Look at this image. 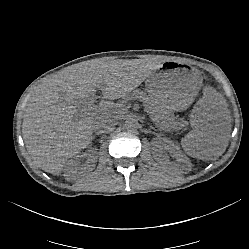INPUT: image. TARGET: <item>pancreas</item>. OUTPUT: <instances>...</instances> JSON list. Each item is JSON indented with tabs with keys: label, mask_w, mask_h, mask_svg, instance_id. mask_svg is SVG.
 Masks as SVG:
<instances>
[{
	"label": "pancreas",
	"mask_w": 249,
	"mask_h": 249,
	"mask_svg": "<svg viewBox=\"0 0 249 249\" xmlns=\"http://www.w3.org/2000/svg\"><path fill=\"white\" fill-rule=\"evenodd\" d=\"M137 94V98L143 102L145 111L153 112L151 117H157L159 119L161 115L164 113V109L153 99L150 98L145 92L143 91H135Z\"/></svg>",
	"instance_id": "cf45deb5"
}]
</instances>
